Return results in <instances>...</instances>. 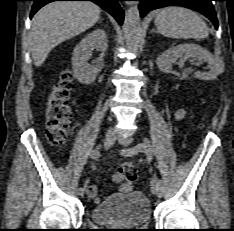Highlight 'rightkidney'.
Instances as JSON below:
<instances>
[{
    "label": "right kidney",
    "instance_id": "obj_1",
    "mask_svg": "<svg viewBox=\"0 0 234 231\" xmlns=\"http://www.w3.org/2000/svg\"><path fill=\"white\" fill-rule=\"evenodd\" d=\"M107 37L104 30L97 29L88 34L74 49L72 56V68L74 77L82 84L89 85L96 79L97 70L88 64L92 50L100 52L107 50Z\"/></svg>",
    "mask_w": 234,
    "mask_h": 231
}]
</instances>
